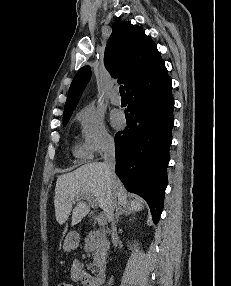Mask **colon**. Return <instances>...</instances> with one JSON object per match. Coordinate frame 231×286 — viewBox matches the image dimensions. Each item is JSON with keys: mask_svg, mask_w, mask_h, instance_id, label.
Masks as SVG:
<instances>
[{"mask_svg": "<svg viewBox=\"0 0 231 286\" xmlns=\"http://www.w3.org/2000/svg\"><path fill=\"white\" fill-rule=\"evenodd\" d=\"M56 286H73V285L68 282H60Z\"/></svg>", "mask_w": 231, "mask_h": 286, "instance_id": "5ec220e1", "label": "colon"}]
</instances>
